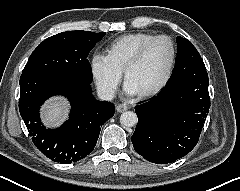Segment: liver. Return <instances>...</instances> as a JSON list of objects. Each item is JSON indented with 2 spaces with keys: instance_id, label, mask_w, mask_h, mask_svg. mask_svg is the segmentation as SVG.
<instances>
[{
  "instance_id": "6515ba94",
  "label": "liver",
  "mask_w": 240,
  "mask_h": 191,
  "mask_svg": "<svg viewBox=\"0 0 240 191\" xmlns=\"http://www.w3.org/2000/svg\"><path fill=\"white\" fill-rule=\"evenodd\" d=\"M69 105L64 99L55 98L43 107L42 119L46 126H58L67 117Z\"/></svg>"
}]
</instances>
